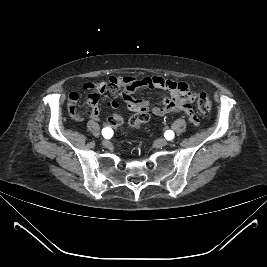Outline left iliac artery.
Segmentation results:
<instances>
[{
  "label": "left iliac artery",
  "instance_id": "obj_1",
  "mask_svg": "<svg viewBox=\"0 0 267 267\" xmlns=\"http://www.w3.org/2000/svg\"><path fill=\"white\" fill-rule=\"evenodd\" d=\"M165 137L166 139L168 140H172L174 138V132L172 130H168L166 133H165Z\"/></svg>",
  "mask_w": 267,
  "mask_h": 267
}]
</instances>
